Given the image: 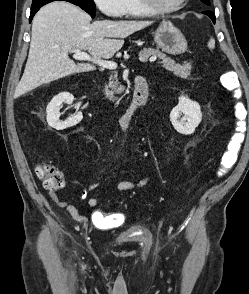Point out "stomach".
Segmentation results:
<instances>
[{
  "mask_svg": "<svg viewBox=\"0 0 249 294\" xmlns=\"http://www.w3.org/2000/svg\"><path fill=\"white\" fill-rule=\"evenodd\" d=\"M153 35L158 47L169 54L178 55L187 51L184 35L170 21H162Z\"/></svg>",
  "mask_w": 249,
  "mask_h": 294,
  "instance_id": "obj_1",
  "label": "stomach"
}]
</instances>
